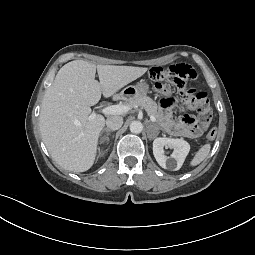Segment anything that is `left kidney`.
Listing matches in <instances>:
<instances>
[{"instance_id":"5707ae66","label":"left kidney","mask_w":255,"mask_h":255,"mask_svg":"<svg viewBox=\"0 0 255 255\" xmlns=\"http://www.w3.org/2000/svg\"><path fill=\"white\" fill-rule=\"evenodd\" d=\"M165 148L173 149L170 157L165 155ZM190 151V145L182 138L159 137L153 141V154L158 164L164 169L179 170Z\"/></svg>"}]
</instances>
